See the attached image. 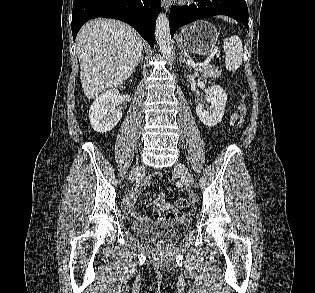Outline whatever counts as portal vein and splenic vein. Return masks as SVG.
Masks as SVG:
<instances>
[{
	"label": "portal vein and splenic vein",
	"mask_w": 315,
	"mask_h": 293,
	"mask_svg": "<svg viewBox=\"0 0 315 293\" xmlns=\"http://www.w3.org/2000/svg\"><path fill=\"white\" fill-rule=\"evenodd\" d=\"M218 56H219V54H218ZM188 63H189L191 66H193L194 68L200 67V66H205V65H206V63H195V62L192 61L191 59L188 60Z\"/></svg>",
	"instance_id": "portal-vein-and-splenic-vein-1"
}]
</instances>
